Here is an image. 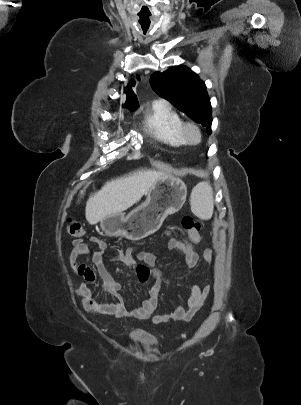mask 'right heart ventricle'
I'll return each instance as SVG.
<instances>
[{
  "label": "right heart ventricle",
  "instance_id": "right-heart-ventricle-1",
  "mask_svg": "<svg viewBox=\"0 0 301 405\" xmlns=\"http://www.w3.org/2000/svg\"><path fill=\"white\" fill-rule=\"evenodd\" d=\"M183 120L169 105L154 103L142 118L145 131L158 141L172 147L187 144L183 136Z\"/></svg>",
  "mask_w": 301,
  "mask_h": 405
}]
</instances>
